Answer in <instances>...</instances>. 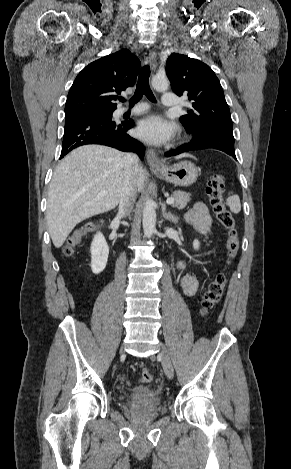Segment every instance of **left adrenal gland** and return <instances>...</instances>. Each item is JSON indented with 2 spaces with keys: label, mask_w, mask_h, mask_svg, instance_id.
Here are the masks:
<instances>
[{
  "label": "left adrenal gland",
  "mask_w": 291,
  "mask_h": 469,
  "mask_svg": "<svg viewBox=\"0 0 291 469\" xmlns=\"http://www.w3.org/2000/svg\"><path fill=\"white\" fill-rule=\"evenodd\" d=\"M162 214H163V217L165 219L169 220L170 222H176L177 221V216H175L171 212H166V205L165 204L162 205Z\"/></svg>",
  "instance_id": "obj_1"
}]
</instances>
